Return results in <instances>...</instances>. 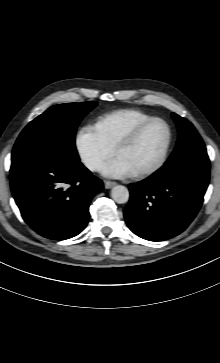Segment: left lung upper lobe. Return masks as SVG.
Instances as JSON below:
<instances>
[{
    "label": "left lung upper lobe",
    "instance_id": "obj_1",
    "mask_svg": "<svg viewBox=\"0 0 220 363\" xmlns=\"http://www.w3.org/2000/svg\"><path fill=\"white\" fill-rule=\"evenodd\" d=\"M172 116L178 127L179 139L169 159H175L189 152H206L205 145L194 126L175 113H172Z\"/></svg>",
    "mask_w": 220,
    "mask_h": 363
}]
</instances>
